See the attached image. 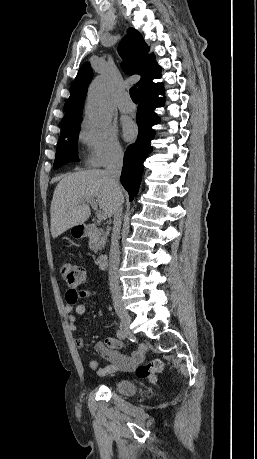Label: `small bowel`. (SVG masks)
<instances>
[{"instance_id": "small-bowel-1", "label": "small bowel", "mask_w": 257, "mask_h": 459, "mask_svg": "<svg viewBox=\"0 0 257 459\" xmlns=\"http://www.w3.org/2000/svg\"><path fill=\"white\" fill-rule=\"evenodd\" d=\"M82 291L76 288H69L66 292V307L65 312L68 319V327L71 331L78 329L77 316L84 315L87 312V307L84 303H79V295ZM86 296L92 295L91 292H86ZM85 296V297H86ZM76 345L83 349L85 342L82 337L76 338ZM123 347L121 340L109 337L104 341H97L94 344L95 351L106 359L109 363L104 368H99V363L96 359L89 360V368L94 370L99 376H106L118 370L132 371L144 359V348L134 351L131 356L123 355L120 350Z\"/></svg>"}]
</instances>
